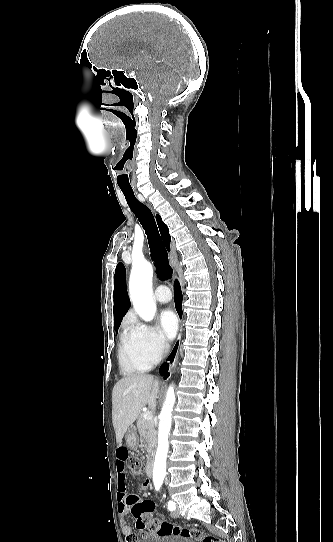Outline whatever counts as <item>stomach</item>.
<instances>
[{
    "label": "stomach",
    "instance_id": "1",
    "mask_svg": "<svg viewBox=\"0 0 333 542\" xmlns=\"http://www.w3.org/2000/svg\"><path fill=\"white\" fill-rule=\"evenodd\" d=\"M125 440L129 448H136L139 442V436L137 434V430L135 426H130V428H128V432H126Z\"/></svg>",
    "mask_w": 333,
    "mask_h": 542
}]
</instances>
